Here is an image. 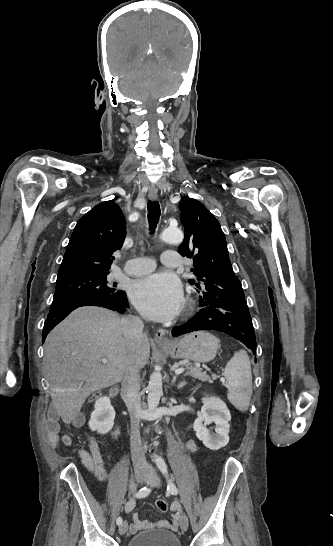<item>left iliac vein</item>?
Returning a JSON list of instances; mask_svg holds the SVG:
<instances>
[{
    "mask_svg": "<svg viewBox=\"0 0 333 546\" xmlns=\"http://www.w3.org/2000/svg\"><path fill=\"white\" fill-rule=\"evenodd\" d=\"M145 482L154 487H158L160 485V479L153 469H151L150 472L148 473L147 479ZM188 526H189L188 517L183 512L181 513V516H180V527L183 531H186L188 529Z\"/></svg>",
    "mask_w": 333,
    "mask_h": 546,
    "instance_id": "left-iliac-vein-1",
    "label": "left iliac vein"
}]
</instances>
